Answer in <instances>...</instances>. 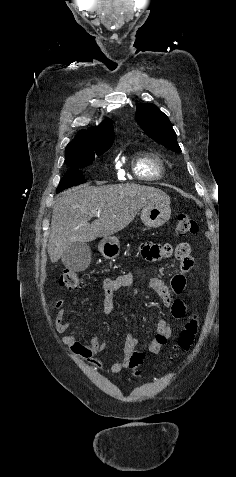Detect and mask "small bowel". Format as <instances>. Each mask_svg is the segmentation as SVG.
<instances>
[{
	"mask_svg": "<svg viewBox=\"0 0 236 477\" xmlns=\"http://www.w3.org/2000/svg\"><path fill=\"white\" fill-rule=\"evenodd\" d=\"M185 251V252H183ZM190 246L187 243H180L175 251L176 258L180 262V271L173 276L171 287L157 277H150L147 280V286L154 291L162 303L170 307L172 316L177 320H182L186 316L187 308L183 300L179 297L186 286L185 276L191 271L194 265V259L190 255ZM142 257L148 261H158L172 256L173 247L169 243H145L141 249ZM134 284L131 274H122L115 278H105L103 280V312L110 314L114 309V295L116 292L129 288ZM176 295V297H173ZM54 307L58 310L55 319L56 330L65 333L62 340L74 353L89 360L96 368H101L102 360L99 354L105 350L106 344L100 342L98 338L93 337L89 344L81 342L74 332L69 331V321L66 319V309L62 299L54 301ZM173 329L170 324L161 319L158 321L154 337L147 349L146 354L156 355L172 336ZM138 344V339L128 335L122 346V356L110 365V371L113 374L121 372L130 366V358L134 348Z\"/></svg>",
	"mask_w": 236,
	"mask_h": 477,
	"instance_id": "obj_1",
	"label": "small bowel"
}]
</instances>
